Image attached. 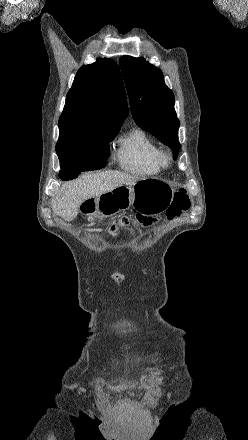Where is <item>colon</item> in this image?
Instances as JSON below:
<instances>
[{
	"instance_id": "1",
	"label": "colon",
	"mask_w": 248,
	"mask_h": 440,
	"mask_svg": "<svg viewBox=\"0 0 248 440\" xmlns=\"http://www.w3.org/2000/svg\"><path fill=\"white\" fill-rule=\"evenodd\" d=\"M191 201L188 194L183 189H179L174 194L171 206L167 209V216L169 218H174L180 216L184 212L190 209ZM136 218L139 222L149 223L151 219L143 216L142 214H137ZM129 223V218L124 217L118 221V226H126Z\"/></svg>"
}]
</instances>
